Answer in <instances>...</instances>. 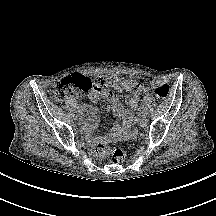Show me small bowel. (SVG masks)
<instances>
[{"mask_svg":"<svg viewBox=\"0 0 216 216\" xmlns=\"http://www.w3.org/2000/svg\"><path fill=\"white\" fill-rule=\"evenodd\" d=\"M102 78L106 81V85L110 86L114 91L105 88L102 92L92 94L90 98L93 101H98L101 98L106 99L115 115L122 118V126H115L113 131L102 137H94L92 131L96 126L97 112L92 108L84 107L86 119L82 123V128L87 133L89 142L93 145L100 142L108 143L128 139L134 136L135 132L132 130V125L135 122L134 110L138 106L140 96L150 92L149 85H142L139 79H122L115 73L106 74ZM124 91L129 92L125 97V103L130 108L129 110L124 108L117 95Z\"/></svg>","mask_w":216,"mask_h":216,"instance_id":"c3829d8e","label":"small bowel"}]
</instances>
